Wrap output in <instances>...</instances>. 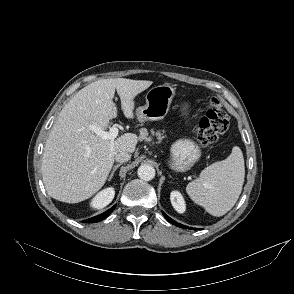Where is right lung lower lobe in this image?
I'll use <instances>...</instances> for the list:
<instances>
[{"label":"right lung lower lobe","instance_id":"98d812e1","mask_svg":"<svg viewBox=\"0 0 294 294\" xmlns=\"http://www.w3.org/2000/svg\"><path fill=\"white\" fill-rule=\"evenodd\" d=\"M115 206H113L111 209L107 210L106 212L102 213L101 215L95 216V217L90 218L88 220H84V222H91V223L93 222V223H95V222H99V221L105 219L110 213L113 212V210L115 209Z\"/></svg>","mask_w":294,"mask_h":294}]
</instances>
